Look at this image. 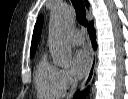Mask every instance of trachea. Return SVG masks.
<instances>
[{
    "instance_id": "3493384b",
    "label": "trachea",
    "mask_w": 128,
    "mask_h": 99,
    "mask_svg": "<svg viewBox=\"0 0 128 99\" xmlns=\"http://www.w3.org/2000/svg\"><path fill=\"white\" fill-rule=\"evenodd\" d=\"M75 11H76V19L81 24L86 26L88 21L86 19V10L83 0H71Z\"/></svg>"
}]
</instances>
